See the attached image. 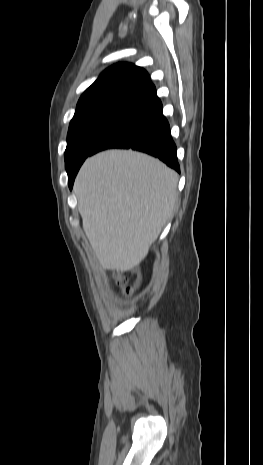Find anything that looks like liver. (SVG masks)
Segmentation results:
<instances>
[{"mask_svg": "<svg viewBox=\"0 0 263 465\" xmlns=\"http://www.w3.org/2000/svg\"><path fill=\"white\" fill-rule=\"evenodd\" d=\"M178 174L131 150L88 158L74 184L83 229L103 269L139 266L172 216Z\"/></svg>", "mask_w": 263, "mask_h": 465, "instance_id": "1", "label": "liver"}]
</instances>
